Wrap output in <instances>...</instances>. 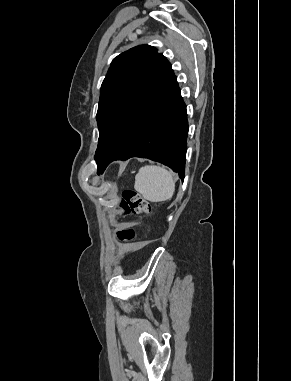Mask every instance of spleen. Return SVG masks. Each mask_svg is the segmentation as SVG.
Returning a JSON list of instances; mask_svg holds the SVG:
<instances>
[{
    "mask_svg": "<svg viewBox=\"0 0 291 381\" xmlns=\"http://www.w3.org/2000/svg\"><path fill=\"white\" fill-rule=\"evenodd\" d=\"M134 188L146 200L162 202L172 198L175 192V181L172 173L165 168L146 165L139 169Z\"/></svg>",
    "mask_w": 291,
    "mask_h": 381,
    "instance_id": "spleen-1",
    "label": "spleen"
}]
</instances>
